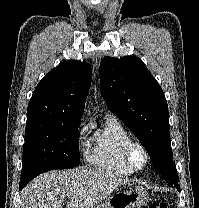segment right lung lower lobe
<instances>
[{"instance_id": "obj_1", "label": "right lung lower lobe", "mask_w": 199, "mask_h": 208, "mask_svg": "<svg viewBox=\"0 0 199 208\" xmlns=\"http://www.w3.org/2000/svg\"><path fill=\"white\" fill-rule=\"evenodd\" d=\"M28 182H29L28 179H20L19 188L22 189Z\"/></svg>"}]
</instances>
